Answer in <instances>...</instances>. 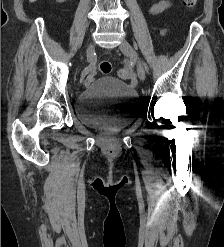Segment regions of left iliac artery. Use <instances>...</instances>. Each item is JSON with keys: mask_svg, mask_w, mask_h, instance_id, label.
<instances>
[{"mask_svg": "<svg viewBox=\"0 0 224 247\" xmlns=\"http://www.w3.org/2000/svg\"><path fill=\"white\" fill-rule=\"evenodd\" d=\"M143 65L145 67V70L148 72V67L146 66V64L143 62Z\"/></svg>", "mask_w": 224, "mask_h": 247, "instance_id": "1", "label": "left iliac artery"}]
</instances>
